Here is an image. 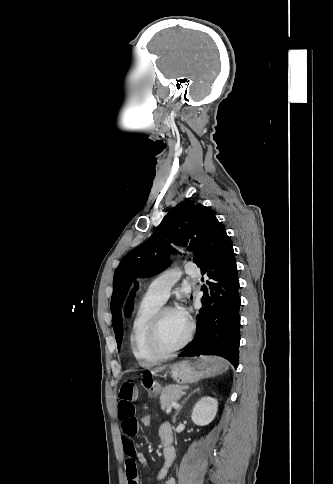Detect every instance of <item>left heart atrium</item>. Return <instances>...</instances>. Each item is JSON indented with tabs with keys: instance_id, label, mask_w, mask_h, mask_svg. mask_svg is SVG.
Masks as SVG:
<instances>
[{
	"instance_id": "1",
	"label": "left heart atrium",
	"mask_w": 333,
	"mask_h": 484,
	"mask_svg": "<svg viewBox=\"0 0 333 484\" xmlns=\"http://www.w3.org/2000/svg\"><path fill=\"white\" fill-rule=\"evenodd\" d=\"M176 311L184 320L189 321L188 310L185 306L179 307Z\"/></svg>"
}]
</instances>
